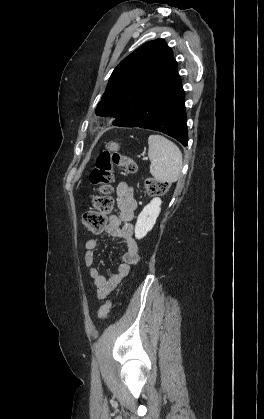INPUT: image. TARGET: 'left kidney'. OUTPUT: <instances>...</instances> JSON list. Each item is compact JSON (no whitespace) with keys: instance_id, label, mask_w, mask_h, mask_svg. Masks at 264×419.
<instances>
[{"instance_id":"1","label":"left kidney","mask_w":264,"mask_h":419,"mask_svg":"<svg viewBox=\"0 0 264 419\" xmlns=\"http://www.w3.org/2000/svg\"><path fill=\"white\" fill-rule=\"evenodd\" d=\"M161 203L162 201L160 198L152 199L138 215L135 225V237L137 239L143 238L150 230H152L154 224L156 223V219L160 214Z\"/></svg>"}]
</instances>
